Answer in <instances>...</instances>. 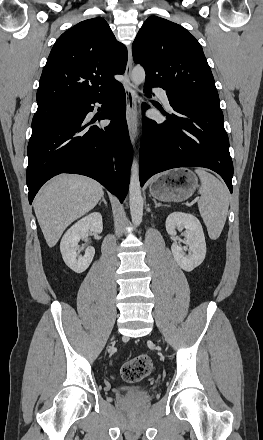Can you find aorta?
Listing matches in <instances>:
<instances>
[{
  "instance_id": "obj_1",
  "label": "aorta",
  "mask_w": 263,
  "mask_h": 440,
  "mask_svg": "<svg viewBox=\"0 0 263 440\" xmlns=\"http://www.w3.org/2000/svg\"><path fill=\"white\" fill-rule=\"evenodd\" d=\"M131 79L136 86L143 83L145 80V70L143 67H134L131 73ZM129 204L132 222L135 226H138L142 222L143 197L139 180V165L135 158L133 159L130 171Z\"/></svg>"
}]
</instances>
